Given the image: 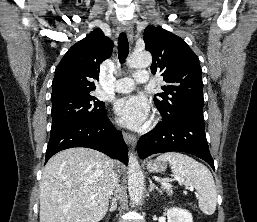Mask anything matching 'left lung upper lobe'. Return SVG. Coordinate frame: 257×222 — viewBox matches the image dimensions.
<instances>
[{"label":"left lung upper lobe","mask_w":257,"mask_h":222,"mask_svg":"<svg viewBox=\"0 0 257 222\" xmlns=\"http://www.w3.org/2000/svg\"><path fill=\"white\" fill-rule=\"evenodd\" d=\"M146 50L153 57L151 72H160L167 85L156 94L155 105L165 118L203 117L202 70L188 44L162 27L148 26L144 32Z\"/></svg>","instance_id":"left-lung-upper-lobe-1"}]
</instances>
